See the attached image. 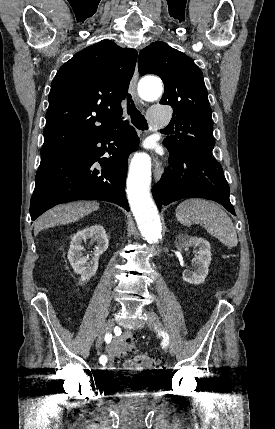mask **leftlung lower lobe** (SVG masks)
<instances>
[{"instance_id":"0a47b994","label":"left lung lower lobe","mask_w":275,"mask_h":429,"mask_svg":"<svg viewBox=\"0 0 275 429\" xmlns=\"http://www.w3.org/2000/svg\"><path fill=\"white\" fill-rule=\"evenodd\" d=\"M170 152V168L152 189L159 208L183 198H205L223 205L233 215L229 185L220 163L206 152L193 151L187 154Z\"/></svg>"}]
</instances>
